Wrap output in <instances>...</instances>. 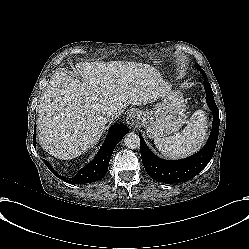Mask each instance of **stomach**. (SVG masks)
Listing matches in <instances>:
<instances>
[{"label":"stomach","mask_w":249,"mask_h":249,"mask_svg":"<svg viewBox=\"0 0 249 249\" xmlns=\"http://www.w3.org/2000/svg\"><path fill=\"white\" fill-rule=\"evenodd\" d=\"M139 113L140 124L150 138L174 134L186 121V105L179 92L165 95L150 111Z\"/></svg>","instance_id":"obj_1"}]
</instances>
